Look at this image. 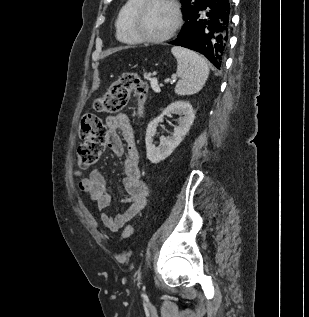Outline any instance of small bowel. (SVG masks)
I'll return each mask as SVG.
<instances>
[{
  "instance_id": "c3829d8e",
  "label": "small bowel",
  "mask_w": 309,
  "mask_h": 317,
  "mask_svg": "<svg viewBox=\"0 0 309 317\" xmlns=\"http://www.w3.org/2000/svg\"><path fill=\"white\" fill-rule=\"evenodd\" d=\"M106 124L108 148L117 156H124L123 187L126 197L122 203L127 206V209L116 216L106 212V208L111 203V196L107 191L106 179L99 170H93L83 178L79 183V188L97 205L104 226L116 232L145 208L149 191L142 178L139 152L128 116L125 114L108 116ZM123 141L126 143V147Z\"/></svg>"
}]
</instances>
